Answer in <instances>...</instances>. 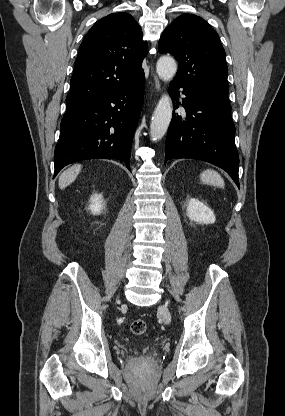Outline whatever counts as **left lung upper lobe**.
I'll use <instances>...</instances> for the list:
<instances>
[{
    "instance_id": "5c2ea615",
    "label": "left lung upper lobe",
    "mask_w": 285,
    "mask_h": 416,
    "mask_svg": "<svg viewBox=\"0 0 285 416\" xmlns=\"http://www.w3.org/2000/svg\"><path fill=\"white\" fill-rule=\"evenodd\" d=\"M158 50L178 61L173 82L204 99L229 104L225 51L203 18L188 13L176 18L162 33Z\"/></svg>"
}]
</instances>
